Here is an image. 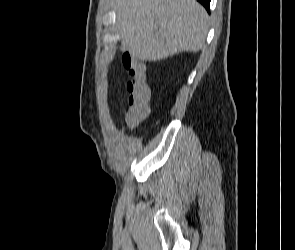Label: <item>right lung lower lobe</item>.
Returning <instances> with one entry per match:
<instances>
[{
    "label": "right lung lower lobe",
    "mask_w": 295,
    "mask_h": 250,
    "mask_svg": "<svg viewBox=\"0 0 295 250\" xmlns=\"http://www.w3.org/2000/svg\"><path fill=\"white\" fill-rule=\"evenodd\" d=\"M198 2H200L209 12L210 11V0H197Z\"/></svg>",
    "instance_id": "98d812e1"
}]
</instances>
